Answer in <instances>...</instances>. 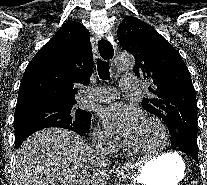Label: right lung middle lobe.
<instances>
[{
  "label": "right lung middle lobe",
  "instance_id": "dd1d6c3e",
  "mask_svg": "<svg viewBox=\"0 0 207 185\" xmlns=\"http://www.w3.org/2000/svg\"><path fill=\"white\" fill-rule=\"evenodd\" d=\"M90 122V112L73 106L40 105L24 108L15 111V141L48 127L86 132Z\"/></svg>",
  "mask_w": 207,
  "mask_h": 185
}]
</instances>
